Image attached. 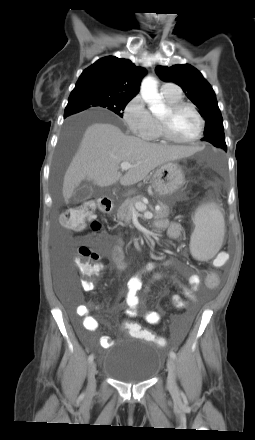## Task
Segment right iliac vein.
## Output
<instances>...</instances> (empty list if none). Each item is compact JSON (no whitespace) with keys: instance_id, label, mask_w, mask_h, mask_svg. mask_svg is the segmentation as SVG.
<instances>
[{"instance_id":"1","label":"right iliac vein","mask_w":255,"mask_h":440,"mask_svg":"<svg viewBox=\"0 0 255 440\" xmlns=\"http://www.w3.org/2000/svg\"><path fill=\"white\" fill-rule=\"evenodd\" d=\"M96 363L92 361L88 367V389L89 391H93L95 389L96 380Z\"/></svg>"}]
</instances>
